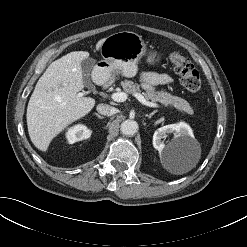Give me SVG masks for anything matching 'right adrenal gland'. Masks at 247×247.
<instances>
[{
  "instance_id": "1",
  "label": "right adrenal gland",
  "mask_w": 247,
  "mask_h": 247,
  "mask_svg": "<svg viewBox=\"0 0 247 247\" xmlns=\"http://www.w3.org/2000/svg\"><path fill=\"white\" fill-rule=\"evenodd\" d=\"M94 115L97 116L99 119H104V117L99 115L98 113H95Z\"/></svg>"
}]
</instances>
